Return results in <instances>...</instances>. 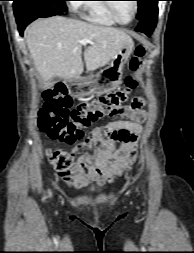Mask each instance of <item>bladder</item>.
I'll use <instances>...</instances> for the list:
<instances>
[{
	"label": "bladder",
	"instance_id": "bladder-1",
	"mask_svg": "<svg viewBox=\"0 0 194 253\" xmlns=\"http://www.w3.org/2000/svg\"><path fill=\"white\" fill-rule=\"evenodd\" d=\"M88 193L92 195H99V194L104 193V190L100 188H94V189H91Z\"/></svg>",
	"mask_w": 194,
	"mask_h": 253
}]
</instances>
